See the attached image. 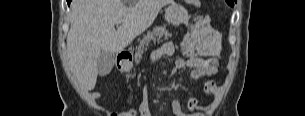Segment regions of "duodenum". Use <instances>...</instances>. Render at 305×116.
I'll return each instance as SVG.
<instances>
[{
  "label": "duodenum",
  "mask_w": 305,
  "mask_h": 116,
  "mask_svg": "<svg viewBox=\"0 0 305 116\" xmlns=\"http://www.w3.org/2000/svg\"><path fill=\"white\" fill-rule=\"evenodd\" d=\"M132 55L128 51H121L117 56L118 64L123 67L126 62L131 59Z\"/></svg>",
  "instance_id": "1"
}]
</instances>
